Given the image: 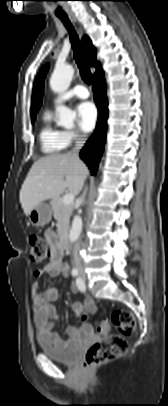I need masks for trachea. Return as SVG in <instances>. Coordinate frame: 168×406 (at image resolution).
Here are the masks:
<instances>
[{
	"mask_svg": "<svg viewBox=\"0 0 168 406\" xmlns=\"http://www.w3.org/2000/svg\"><path fill=\"white\" fill-rule=\"evenodd\" d=\"M60 19L64 23L67 30L69 31L70 40H71L72 48L74 51V58L78 65V68L80 70L81 77L85 83L91 84L92 74H91L88 64L86 62V59L84 58V54H83L82 48L80 46V41H79L78 35L76 34V32H75L74 28L72 27L68 18L60 17Z\"/></svg>",
	"mask_w": 168,
	"mask_h": 406,
	"instance_id": "obj_1",
	"label": "trachea"
}]
</instances>
